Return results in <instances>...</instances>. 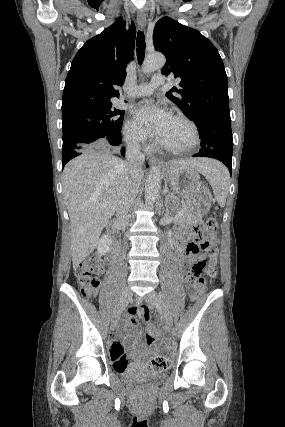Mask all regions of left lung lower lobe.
Listing matches in <instances>:
<instances>
[{
	"label": "left lung lower lobe",
	"instance_id": "obj_1",
	"mask_svg": "<svg viewBox=\"0 0 285 427\" xmlns=\"http://www.w3.org/2000/svg\"><path fill=\"white\" fill-rule=\"evenodd\" d=\"M201 138V150L193 157H210L232 168L233 139L231 118L209 114L195 121Z\"/></svg>",
	"mask_w": 285,
	"mask_h": 427
}]
</instances>
